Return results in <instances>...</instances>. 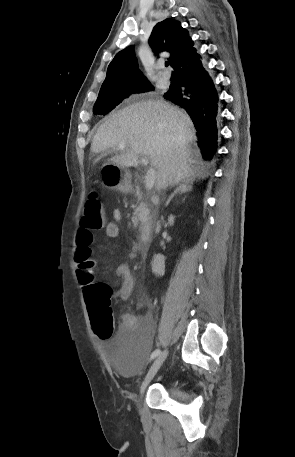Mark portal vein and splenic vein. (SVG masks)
Instances as JSON below:
<instances>
[{
  "label": "portal vein and splenic vein",
  "mask_w": 295,
  "mask_h": 457,
  "mask_svg": "<svg viewBox=\"0 0 295 457\" xmlns=\"http://www.w3.org/2000/svg\"><path fill=\"white\" fill-rule=\"evenodd\" d=\"M119 149H125L126 148V144L125 143H119V145L117 146ZM142 163L144 165H148L149 164V160L147 158H142ZM155 179H156V170L155 168L153 167H149L147 173H146V176H145V187L146 189L150 190L152 189L153 185H154V182H155Z\"/></svg>",
  "instance_id": "obj_1"
}]
</instances>
